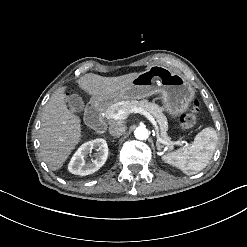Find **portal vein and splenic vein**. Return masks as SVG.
Segmentation results:
<instances>
[{
  "label": "portal vein and splenic vein",
  "mask_w": 247,
  "mask_h": 247,
  "mask_svg": "<svg viewBox=\"0 0 247 247\" xmlns=\"http://www.w3.org/2000/svg\"><path fill=\"white\" fill-rule=\"evenodd\" d=\"M133 113H141V114L145 115L150 121L154 120L152 115L141 107H134V108H131L129 110L121 109V110H119L118 114H114L111 117H112V119H115V120H122V119L128 118L130 116V114H133ZM174 144L175 145L176 144H179V145L182 144V147H186V146L188 147L189 146V144L185 141H176Z\"/></svg>",
  "instance_id": "1"
}]
</instances>
